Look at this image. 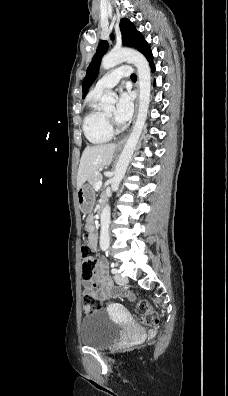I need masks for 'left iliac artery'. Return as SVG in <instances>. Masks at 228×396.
Returning <instances> with one entry per match:
<instances>
[{
	"instance_id": "obj_1",
	"label": "left iliac artery",
	"mask_w": 228,
	"mask_h": 396,
	"mask_svg": "<svg viewBox=\"0 0 228 396\" xmlns=\"http://www.w3.org/2000/svg\"><path fill=\"white\" fill-rule=\"evenodd\" d=\"M111 273H112V274H116V273H117V269H116V268H113V266H112V269H111Z\"/></svg>"
}]
</instances>
